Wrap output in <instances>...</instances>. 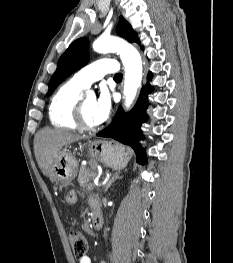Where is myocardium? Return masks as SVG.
Instances as JSON below:
<instances>
[{
  "label": "myocardium",
  "mask_w": 233,
  "mask_h": 263,
  "mask_svg": "<svg viewBox=\"0 0 233 263\" xmlns=\"http://www.w3.org/2000/svg\"><path fill=\"white\" fill-rule=\"evenodd\" d=\"M75 121L77 126L85 131H94L98 128L97 125H90L86 122L83 112V99L80 97L75 106Z\"/></svg>",
  "instance_id": "myocardium-1"
}]
</instances>
